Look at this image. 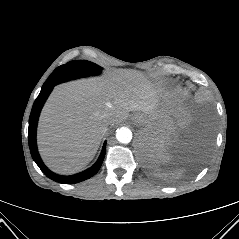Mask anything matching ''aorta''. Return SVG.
Wrapping results in <instances>:
<instances>
[{
	"instance_id": "1",
	"label": "aorta",
	"mask_w": 239,
	"mask_h": 239,
	"mask_svg": "<svg viewBox=\"0 0 239 239\" xmlns=\"http://www.w3.org/2000/svg\"><path fill=\"white\" fill-rule=\"evenodd\" d=\"M116 138L120 143L128 144L132 140V132L127 127H121L116 130Z\"/></svg>"
}]
</instances>
